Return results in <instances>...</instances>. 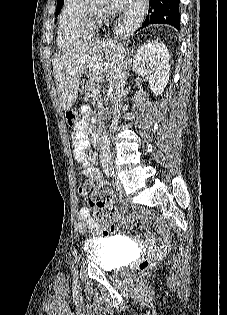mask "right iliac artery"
I'll return each instance as SVG.
<instances>
[{"label": "right iliac artery", "mask_w": 227, "mask_h": 315, "mask_svg": "<svg viewBox=\"0 0 227 315\" xmlns=\"http://www.w3.org/2000/svg\"><path fill=\"white\" fill-rule=\"evenodd\" d=\"M108 177H112L114 175V170L110 169L105 172Z\"/></svg>", "instance_id": "82829eb1"}]
</instances>
